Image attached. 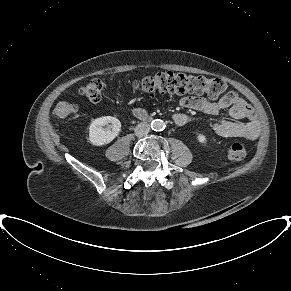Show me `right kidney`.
Instances as JSON below:
<instances>
[{
	"label": "right kidney",
	"instance_id": "obj_1",
	"mask_svg": "<svg viewBox=\"0 0 291 291\" xmlns=\"http://www.w3.org/2000/svg\"><path fill=\"white\" fill-rule=\"evenodd\" d=\"M106 125L105 128H103ZM121 130L116 117L103 116L92 121L89 127V141L92 145L102 146L113 141Z\"/></svg>",
	"mask_w": 291,
	"mask_h": 291
}]
</instances>
